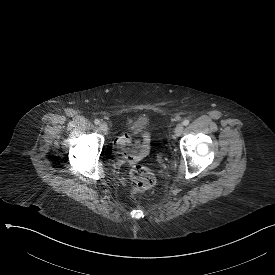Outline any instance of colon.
Here are the masks:
<instances>
[{
  "instance_id": "5ec220e1",
  "label": "colon",
  "mask_w": 275,
  "mask_h": 275,
  "mask_svg": "<svg viewBox=\"0 0 275 275\" xmlns=\"http://www.w3.org/2000/svg\"><path fill=\"white\" fill-rule=\"evenodd\" d=\"M130 178L135 182L134 193H141L152 188L155 184L154 174L144 166H134L130 170Z\"/></svg>"
}]
</instances>
